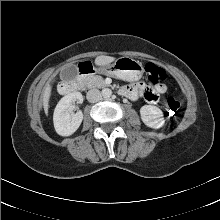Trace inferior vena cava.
Wrapping results in <instances>:
<instances>
[{
    "mask_svg": "<svg viewBox=\"0 0 220 220\" xmlns=\"http://www.w3.org/2000/svg\"><path fill=\"white\" fill-rule=\"evenodd\" d=\"M86 97L89 102L95 103L101 99V92L98 89H91L87 92Z\"/></svg>",
    "mask_w": 220,
    "mask_h": 220,
    "instance_id": "obj_1",
    "label": "inferior vena cava"
}]
</instances>
